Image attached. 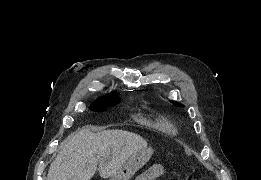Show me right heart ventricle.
Listing matches in <instances>:
<instances>
[{"label": "right heart ventricle", "instance_id": "obj_1", "mask_svg": "<svg viewBox=\"0 0 261 180\" xmlns=\"http://www.w3.org/2000/svg\"><path fill=\"white\" fill-rule=\"evenodd\" d=\"M136 121H143V126L139 127L147 133H167V138H174L179 133L178 128L164 115H140Z\"/></svg>", "mask_w": 261, "mask_h": 180}]
</instances>
